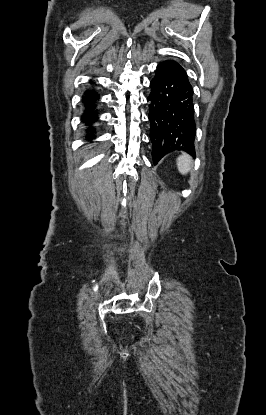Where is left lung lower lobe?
<instances>
[{"label": "left lung lower lobe", "mask_w": 266, "mask_h": 415, "mask_svg": "<svg viewBox=\"0 0 266 415\" xmlns=\"http://www.w3.org/2000/svg\"><path fill=\"white\" fill-rule=\"evenodd\" d=\"M150 87L147 100L153 163L173 151L195 155L194 92L186 71L174 60L161 62Z\"/></svg>", "instance_id": "0a47b994"}]
</instances>
